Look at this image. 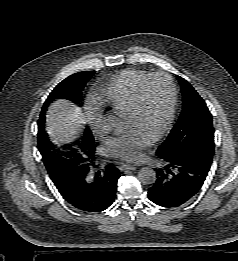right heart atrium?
Instances as JSON below:
<instances>
[{"mask_svg":"<svg viewBox=\"0 0 238 261\" xmlns=\"http://www.w3.org/2000/svg\"><path fill=\"white\" fill-rule=\"evenodd\" d=\"M87 120L92 133L96 137H102L106 134L107 129L101 112L94 108H89L87 111Z\"/></svg>","mask_w":238,"mask_h":261,"instance_id":"right-heart-atrium-1","label":"right heart atrium"}]
</instances>
